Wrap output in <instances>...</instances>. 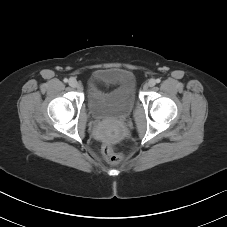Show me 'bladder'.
<instances>
[{
	"label": "bladder",
	"instance_id": "31cf9c89",
	"mask_svg": "<svg viewBox=\"0 0 227 227\" xmlns=\"http://www.w3.org/2000/svg\"><path fill=\"white\" fill-rule=\"evenodd\" d=\"M88 107L91 115L98 120L122 118L131 113L135 105V81L126 71L115 68L96 70L90 79ZM119 84L118 91L111 97H99L94 89L98 84Z\"/></svg>",
	"mask_w": 227,
	"mask_h": 227
}]
</instances>
